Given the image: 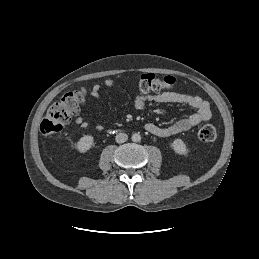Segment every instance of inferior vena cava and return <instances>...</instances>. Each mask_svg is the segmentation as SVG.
Segmentation results:
<instances>
[{"instance_id": "obj_1", "label": "inferior vena cava", "mask_w": 259, "mask_h": 259, "mask_svg": "<svg viewBox=\"0 0 259 259\" xmlns=\"http://www.w3.org/2000/svg\"><path fill=\"white\" fill-rule=\"evenodd\" d=\"M115 140L117 143H124L128 140V135L126 133H118Z\"/></svg>"}]
</instances>
